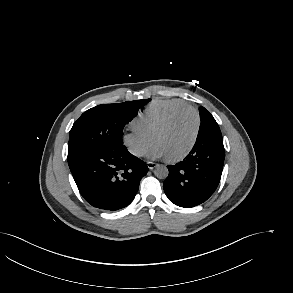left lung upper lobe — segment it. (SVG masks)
Segmentation results:
<instances>
[{"label":"left lung upper lobe","instance_id":"left-lung-upper-lobe-1","mask_svg":"<svg viewBox=\"0 0 293 293\" xmlns=\"http://www.w3.org/2000/svg\"><path fill=\"white\" fill-rule=\"evenodd\" d=\"M199 112L201 124L197 137L210 134H216L222 137L220 128L213 116L204 107H200Z\"/></svg>","mask_w":293,"mask_h":293}]
</instances>
